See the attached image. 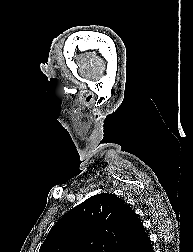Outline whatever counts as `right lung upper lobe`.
I'll return each mask as SVG.
<instances>
[{
	"label": "right lung upper lobe",
	"instance_id": "right-lung-upper-lobe-1",
	"mask_svg": "<svg viewBox=\"0 0 193 252\" xmlns=\"http://www.w3.org/2000/svg\"><path fill=\"white\" fill-rule=\"evenodd\" d=\"M144 232L141 220L124 200L103 193L59 219L39 252H129Z\"/></svg>",
	"mask_w": 193,
	"mask_h": 252
}]
</instances>
